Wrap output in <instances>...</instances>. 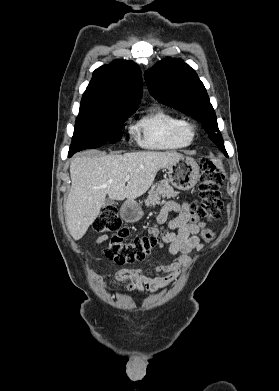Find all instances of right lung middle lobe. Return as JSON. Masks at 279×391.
I'll return each instance as SVG.
<instances>
[{"instance_id": "dd1d6c3e", "label": "right lung middle lobe", "mask_w": 279, "mask_h": 391, "mask_svg": "<svg viewBox=\"0 0 279 391\" xmlns=\"http://www.w3.org/2000/svg\"><path fill=\"white\" fill-rule=\"evenodd\" d=\"M135 109L79 112L69 156L83 149H92L120 140L122 123Z\"/></svg>"}]
</instances>
